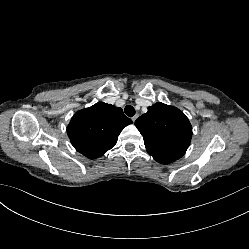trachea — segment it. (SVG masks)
<instances>
[{
  "label": "trachea",
  "instance_id": "3493384b",
  "mask_svg": "<svg viewBox=\"0 0 249 249\" xmlns=\"http://www.w3.org/2000/svg\"><path fill=\"white\" fill-rule=\"evenodd\" d=\"M124 111H125V114H126L127 116H129V117H132V116L135 115V109H134V107L131 106V105H127V106L125 107Z\"/></svg>",
  "mask_w": 249,
  "mask_h": 249
}]
</instances>
